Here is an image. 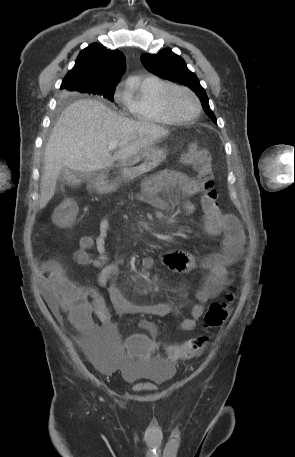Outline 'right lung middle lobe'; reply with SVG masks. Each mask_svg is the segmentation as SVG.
<instances>
[{
    "label": "right lung middle lobe",
    "instance_id": "right-lung-middle-lobe-1",
    "mask_svg": "<svg viewBox=\"0 0 295 457\" xmlns=\"http://www.w3.org/2000/svg\"><path fill=\"white\" fill-rule=\"evenodd\" d=\"M72 87L74 91H79L82 93H88L92 95H100L107 98L110 101H113L115 86H105L102 88L93 89L84 84H74Z\"/></svg>",
    "mask_w": 295,
    "mask_h": 457
}]
</instances>
